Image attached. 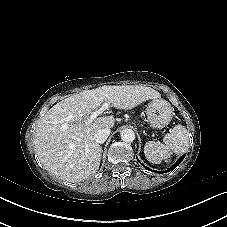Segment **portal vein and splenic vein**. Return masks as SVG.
Listing matches in <instances>:
<instances>
[{
    "mask_svg": "<svg viewBox=\"0 0 227 227\" xmlns=\"http://www.w3.org/2000/svg\"><path fill=\"white\" fill-rule=\"evenodd\" d=\"M108 108V104L104 103L102 107L94 112L91 113V115L88 118V121L91 122L92 120L96 119L100 114L103 113Z\"/></svg>",
    "mask_w": 227,
    "mask_h": 227,
    "instance_id": "obj_1",
    "label": "portal vein and splenic vein"
}]
</instances>
